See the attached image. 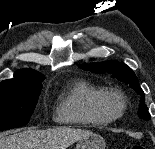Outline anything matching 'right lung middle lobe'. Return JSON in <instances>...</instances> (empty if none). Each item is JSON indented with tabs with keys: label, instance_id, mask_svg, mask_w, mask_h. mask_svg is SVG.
<instances>
[{
	"label": "right lung middle lobe",
	"instance_id": "dd1d6c3e",
	"mask_svg": "<svg viewBox=\"0 0 155 149\" xmlns=\"http://www.w3.org/2000/svg\"><path fill=\"white\" fill-rule=\"evenodd\" d=\"M43 77L33 81H5L0 84V131L29 122L42 89Z\"/></svg>",
	"mask_w": 155,
	"mask_h": 149
}]
</instances>
